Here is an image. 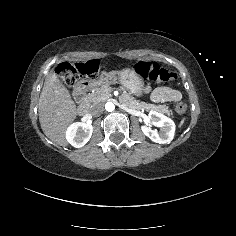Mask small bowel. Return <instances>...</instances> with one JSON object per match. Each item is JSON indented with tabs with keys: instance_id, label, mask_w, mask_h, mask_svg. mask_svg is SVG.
<instances>
[{
	"instance_id": "c3829d8e",
	"label": "small bowel",
	"mask_w": 236,
	"mask_h": 236,
	"mask_svg": "<svg viewBox=\"0 0 236 236\" xmlns=\"http://www.w3.org/2000/svg\"><path fill=\"white\" fill-rule=\"evenodd\" d=\"M146 92L151 94V99L155 102H163V101L176 102L182 98V94L179 91L168 87H159L156 89L147 87Z\"/></svg>"
}]
</instances>
